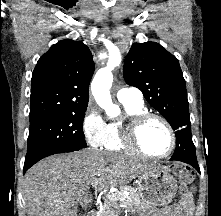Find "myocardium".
I'll use <instances>...</instances> for the list:
<instances>
[{"mask_svg": "<svg viewBox=\"0 0 221 216\" xmlns=\"http://www.w3.org/2000/svg\"><path fill=\"white\" fill-rule=\"evenodd\" d=\"M151 120L160 121L167 129L170 136V147L163 154H153L148 152L141 144L140 134L145 126ZM122 138L126 147L144 157L153 159H163L169 157L176 147V134L170 122L161 115L144 112L134 117L126 119L122 124Z\"/></svg>", "mask_w": 221, "mask_h": 216, "instance_id": "obj_1", "label": "myocardium"}]
</instances>
